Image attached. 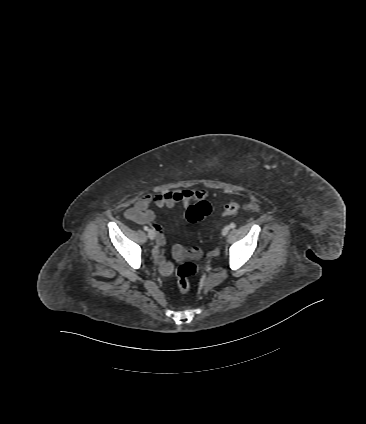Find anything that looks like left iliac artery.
Instances as JSON below:
<instances>
[{"instance_id":"obj_1","label":"left iliac artery","mask_w":366,"mask_h":424,"mask_svg":"<svg viewBox=\"0 0 366 424\" xmlns=\"http://www.w3.org/2000/svg\"><path fill=\"white\" fill-rule=\"evenodd\" d=\"M229 227H230L231 229H233V228H235V227H236V224H235V223H231V224L229 225Z\"/></svg>"}]
</instances>
